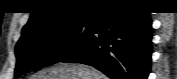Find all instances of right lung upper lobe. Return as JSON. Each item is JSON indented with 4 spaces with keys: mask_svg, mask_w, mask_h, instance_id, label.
Masks as SVG:
<instances>
[{
    "mask_svg": "<svg viewBox=\"0 0 177 79\" xmlns=\"http://www.w3.org/2000/svg\"><path fill=\"white\" fill-rule=\"evenodd\" d=\"M119 2L98 0H39L34 3L29 22L22 29V36L37 29L78 20H95L104 9Z\"/></svg>",
    "mask_w": 177,
    "mask_h": 79,
    "instance_id": "obj_1",
    "label": "right lung upper lobe"
}]
</instances>
